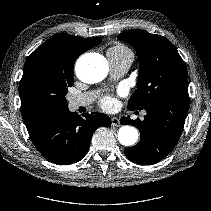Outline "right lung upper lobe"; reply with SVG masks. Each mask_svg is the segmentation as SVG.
I'll list each match as a JSON object with an SVG mask.
<instances>
[{
    "label": "right lung upper lobe",
    "instance_id": "right-lung-upper-lobe-1",
    "mask_svg": "<svg viewBox=\"0 0 211 211\" xmlns=\"http://www.w3.org/2000/svg\"><path fill=\"white\" fill-rule=\"evenodd\" d=\"M101 41L102 39L97 37L81 38L66 33H57L39 46L28 57L25 65L37 58H47L63 72L73 74V65L77 57ZM21 111L27 129L48 115L32 109L23 99H21Z\"/></svg>",
    "mask_w": 211,
    "mask_h": 211
}]
</instances>
